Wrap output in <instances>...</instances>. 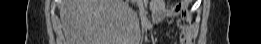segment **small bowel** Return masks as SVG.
I'll return each instance as SVG.
<instances>
[{"mask_svg": "<svg viewBox=\"0 0 261 44\" xmlns=\"http://www.w3.org/2000/svg\"><path fill=\"white\" fill-rule=\"evenodd\" d=\"M151 21L161 22L169 15H177V27L179 29V44H187L192 36L191 13L186 9V6L168 7L163 0H153L150 2Z\"/></svg>", "mask_w": 261, "mask_h": 44, "instance_id": "obj_1", "label": "small bowel"}]
</instances>
